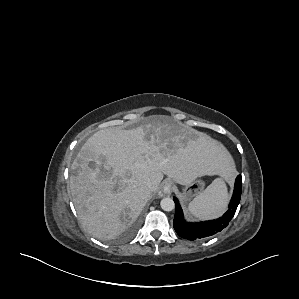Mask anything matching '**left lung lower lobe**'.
<instances>
[{"label":"left lung lower lobe","mask_w":299,"mask_h":299,"mask_svg":"<svg viewBox=\"0 0 299 299\" xmlns=\"http://www.w3.org/2000/svg\"><path fill=\"white\" fill-rule=\"evenodd\" d=\"M241 191L242 178L241 175H238L235 181L233 197L230 201L227 212L219 219L198 223H190L184 220L181 206L178 203V200L174 198L173 200L175 202V217L173 226L175 231L180 237L188 240L204 239L216 234L217 232H220L223 228L227 227V225L233 218L240 202Z\"/></svg>","instance_id":"left-lung-lower-lobe-1"}]
</instances>
